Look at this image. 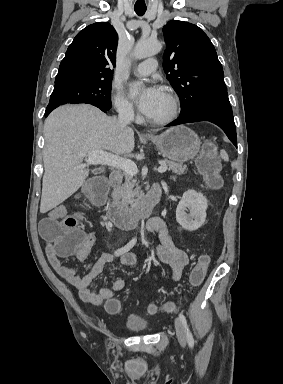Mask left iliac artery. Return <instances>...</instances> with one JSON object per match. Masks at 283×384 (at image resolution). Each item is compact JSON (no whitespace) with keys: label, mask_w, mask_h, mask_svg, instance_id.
Returning a JSON list of instances; mask_svg holds the SVG:
<instances>
[{"label":"left iliac artery","mask_w":283,"mask_h":384,"mask_svg":"<svg viewBox=\"0 0 283 384\" xmlns=\"http://www.w3.org/2000/svg\"><path fill=\"white\" fill-rule=\"evenodd\" d=\"M179 320L181 321L182 325L185 328L186 336H187V342H188L189 346L193 347L194 346V338H193L192 333H191V331L187 325L186 318L182 313L179 314Z\"/></svg>","instance_id":"left-iliac-artery-1"}]
</instances>
